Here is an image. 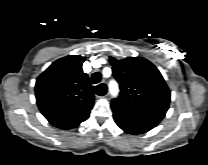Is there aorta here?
Here are the masks:
<instances>
[{
	"label": "aorta",
	"instance_id": "762f6f07",
	"mask_svg": "<svg viewBox=\"0 0 208 165\" xmlns=\"http://www.w3.org/2000/svg\"><path fill=\"white\" fill-rule=\"evenodd\" d=\"M110 91L113 95L117 94L118 87L116 83H113V82L110 83Z\"/></svg>",
	"mask_w": 208,
	"mask_h": 165
}]
</instances>
